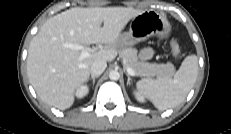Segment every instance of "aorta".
Returning <instances> with one entry per match:
<instances>
[{
  "label": "aorta",
  "mask_w": 231,
  "mask_h": 134,
  "mask_svg": "<svg viewBox=\"0 0 231 134\" xmlns=\"http://www.w3.org/2000/svg\"><path fill=\"white\" fill-rule=\"evenodd\" d=\"M109 78H110L111 80H118V79L120 78V74H119L118 71L113 70V71H111V72L109 73Z\"/></svg>",
  "instance_id": "1"
}]
</instances>
